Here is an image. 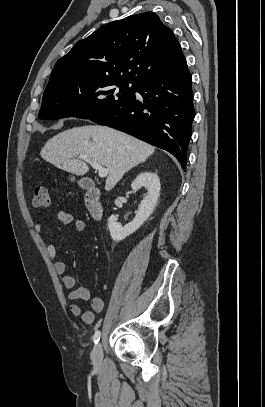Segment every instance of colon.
<instances>
[{"instance_id": "1", "label": "colon", "mask_w": 265, "mask_h": 407, "mask_svg": "<svg viewBox=\"0 0 265 407\" xmlns=\"http://www.w3.org/2000/svg\"><path fill=\"white\" fill-rule=\"evenodd\" d=\"M51 203V197L47 186L37 185L33 195V205L35 207H46Z\"/></svg>"}]
</instances>
